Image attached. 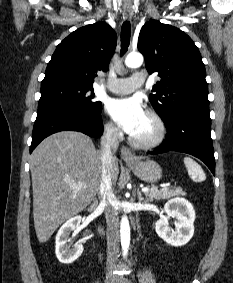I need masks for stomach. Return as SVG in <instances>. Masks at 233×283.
Wrapping results in <instances>:
<instances>
[{"label":"stomach","instance_id":"0dacf381","mask_svg":"<svg viewBox=\"0 0 233 283\" xmlns=\"http://www.w3.org/2000/svg\"><path fill=\"white\" fill-rule=\"evenodd\" d=\"M134 174L147 183L158 182L162 176V169L158 163L152 160L137 162L129 165Z\"/></svg>","mask_w":233,"mask_h":283}]
</instances>
